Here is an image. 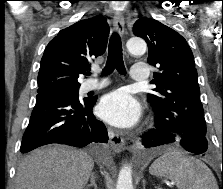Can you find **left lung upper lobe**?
I'll list each match as a JSON object with an SVG mask.
<instances>
[{
  "instance_id": "1",
  "label": "left lung upper lobe",
  "mask_w": 223,
  "mask_h": 189,
  "mask_svg": "<svg viewBox=\"0 0 223 189\" xmlns=\"http://www.w3.org/2000/svg\"><path fill=\"white\" fill-rule=\"evenodd\" d=\"M136 36L148 45L150 65L157 67L152 83L155 94L148 96L162 128L206 136V122L200 101L197 70L192 51L184 37L151 18L138 19Z\"/></svg>"
}]
</instances>
